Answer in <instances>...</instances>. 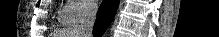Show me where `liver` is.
Here are the masks:
<instances>
[{"mask_svg":"<svg viewBox=\"0 0 219 37\" xmlns=\"http://www.w3.org/2000/svg\"><path fill=\"white\" fill-rule=\"evenodd\" d=\"M71 35H78V33H72ZM76 37H80V36H76Z\"/></svg>","mask_w":219,"mask_h":37,"instance_id":"6515ba94","label":"liver"}]
</instances>
